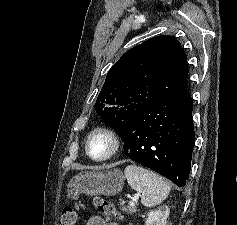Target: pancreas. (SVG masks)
I'll return each mask as SVG.
<instances>
[{
  "label": "pancreas",
  "mask_w": 237,
  "mask_h": 225,
  "mask_svg": "<svg viewBox=\"0 0 237 225\" xmlns=\"http://www.w3.org/2000/svg\"><path fill=\"white\" fill-rule=\"evenodd\" d=\"M121 210L126 212L127 214H131L137 211L135 207H125V206H122Z\"/></svg>",
  "instance_id": "obj_1"
}]
</instances>
